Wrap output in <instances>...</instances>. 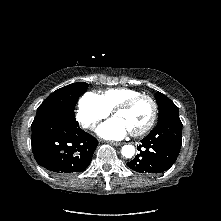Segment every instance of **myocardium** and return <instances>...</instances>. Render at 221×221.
Returning a JSON list of instances; mask_svg holds the SVG:
<instances>
[{
  "label": "myocardium",
  "mask_w": 221,
  "mask_h": 221,
  "mask_svg": "<svg viewBox=\"0 0 221 221\" xmlns=\"http://www.w3.org/2000/svg\"><path fill=\"white\" fill-rule=\"evenodd\" d=\"M141 99H148L151 102V104H152V115H151V118H150L149 122L144 127H142L140 130L130 132V134L134 137H139V136H142V135L146 134L154 126V124L157 120V117H158V104H157V101L154 99V97H152L151 95L142 93V94L136 95L132 98H129V99L125 100L124 102L120 103L113 110V115L115 116L116 113H118L119 111L128 110L136 102H138Z\"/></svg>",
  "instance_id": "1"
}]
</instances>
